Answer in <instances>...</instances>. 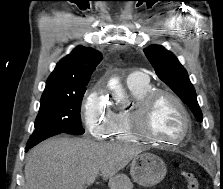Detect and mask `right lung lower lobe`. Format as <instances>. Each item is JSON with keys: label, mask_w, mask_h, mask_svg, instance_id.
<instances>
[{"label": "right lung lower lobe", "mask_w": 223, "mask_h": 189, "mask_svg": "<svg viewBox=\"0 0 223 189\" xmlns=\"http://www.w3.org/2000/svg\"><path fill=\"white\" fill-rule=\"evenodd\" d=\"M57 134H60V132H48V133H41V134H33L27 142L25 152H27L30 148L37 145L41 141H43L51 136L57 135Z\"/></svg>", "instance_id": "right-lung-lower-lobe-1"}]
</instances>
